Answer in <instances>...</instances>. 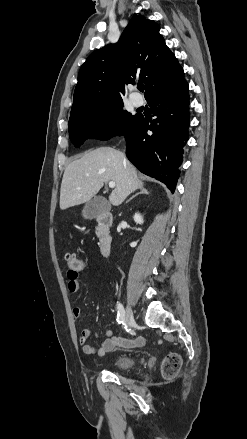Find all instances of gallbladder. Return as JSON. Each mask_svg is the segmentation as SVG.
I'll return each instance as SVG.
<instances>
[{
  "mask_svg": "<svg viewBox=\"0 0 247 439\" xmlns=\"http://www.w3.org/2000/svg\"><path fill=\"white\" fill-rule=\"evenodd\" d=\"M109 210V205L103 197L97 196L88 201L83 210L82 215L86 219H93L100 214L106 213Z\"/></svg>",
  "mask_w": 247,
  "mask_h": 439,
  "instance_id": "gallbladder-1",
  "label": "gallbladder"
}]
</instances>
